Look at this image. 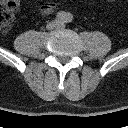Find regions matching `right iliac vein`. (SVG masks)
Returning <instances> with one entry per match:
<instances>
[{
	"instance_id": "1",
	"label": "right iliac vein",
	"mask_w": 128,
	"mask_h": 128,
	"mask_svg": "<svg viewBox=\"0 0 128 128\" xmlns=\"http://www.w3.org/2000/svg\"><path fill=\"white\" fill-rule=\"evenodd\" d=\"M56 27H58V22L57 21H52L49 24H47V28L49 30L55 29Z\"/></svg>"
}]
</instances>
